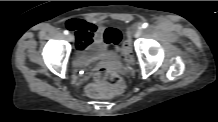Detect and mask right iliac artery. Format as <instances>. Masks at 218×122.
<instances>
[{"label": "right iliac artery", "instance_id": "right-iliac-artery-1", "mask_svg": "<svg viewBox=\"0 0 218 122\" xmlns=\"http://www.w3.org/2000/svg\"><path fill=\"white\" fill-rule=\"evenodd\" d=\"M68 33H69V32H68L67 30H64V34H65V35H68Z\"/></svg>", "mask_w": 218, "mask_h": 122}]
</instances>
